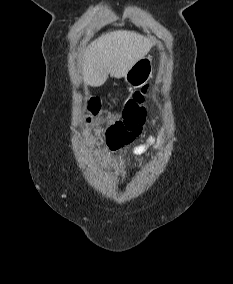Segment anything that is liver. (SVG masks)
<instances>
[{"label":"liver","instance_id":"liver-1","mask_svg":"<svg viewBox=\"0 0 233 284\" xmlns=\"http://www.w3.org/2000/svg\"><path fill=\"white\" fill-rule=\"evenodd\" d=\"M153 42L130 31H113L101 35L88 45L83 57V80L86 85L99 87L110 74L120 79L151 50Z\"/></svg>","mask_w":233,"mask_h":284}]
</instances>
